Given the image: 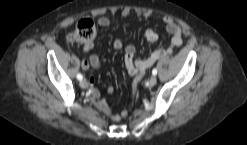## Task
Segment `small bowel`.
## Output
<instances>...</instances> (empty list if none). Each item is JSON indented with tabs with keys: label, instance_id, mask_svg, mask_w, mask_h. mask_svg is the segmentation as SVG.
Wrapping results in <instances>:
<instances>
[{
	"label": "small bowel",
	"instance_id": "small-bowel-1",
	"mask_svg": "<svg viewBox=\"0 0 247 145\" xmlns=\"http://www.w3.org/2000/svg\"><path fill=\"white\" fill-rule=\"evenodd\" d=\"M123 15H127L123 12ZM163 24L167 32L171 35V41L168 46L157 47L153 53L146 59L136 61L135 60V47L131 44L123 45L122 41L119 39L114 40L113 47L117 50L123 49L124 60L128 73L134 77V81L138 82L146 75L147 70L153 66L156 61L166 54L172 53L173 49L179 47L183 43L182 38V28L181 26L171 17H164ZM111 21L108 17L102 16L97 19V24L99 27L105 28L110 25ZM145 37L150 42H155L158 40V33L154 29H147L145 31ZM94 47L93 43L85 44L83 50L88 52ZM101 65V59L99 56L93 54L90 55L88 59H83L81 62L82 69L89 71L91 68H97ZM87 83L90 87V101L99 110L106 113L112 122H119L126 114L125 111H120L118 113H113L110 110L107 102L101 97L99 91L94 88L95 77L90 75L87 79ZM114 90L113 86L107 88L108 93H112Z\"/></svg>",
	"mask_w": 247,
	"mask_h": 145
}]
</instances>
